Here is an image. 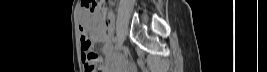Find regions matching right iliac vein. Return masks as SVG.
<instances>
[{
  "mask_svg": "<svg viewBox=\"0 0 267 72\" xmlns=\"http://www.w3.org/2000/svg\"><path fill=\"white\" fill-rule=\"evenodd\" d=\"M121 47H122V43H121V42H119V43H118V45H117V47H116V49H117V50H120V49H121Z\"/></svg>",
  "mask_w": 267,
  "mask_h": 72,
  "instance_id": "right-iliac-vein-1",
  "label": "right iliac vein"
}]
</instances>
